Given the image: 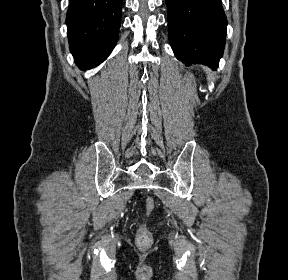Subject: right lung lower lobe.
Here are the masks:
<instances>
[{"instance_id": "obj_1", "label": "right lung lower lobe", "mask_w": 288, "mask_h": 280, "mask_svg": "<svg viewBox=\"0 0 288 280\" xmlns=\"http://www.w3.org/2000/svg\"><path fill=\"white\" fill-rule=\"evenodd\" d=\"M123 0H70L66 24L76 65L88 70L113 50L121 22Z\"/></svg>"}]
</instances>
